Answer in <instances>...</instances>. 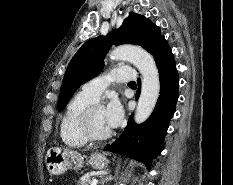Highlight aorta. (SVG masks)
Returning <instances> with one entry per match:
<instances>
[{
  "mask_svg": "<svg viewBox=\"0 0 233 185\" xmlns=\"http://www.w3.org/2000/svg\"><path fill=\"white\" fill-rule=\"evenodd\" d=\"M116 61L126 60L135 65L142 76L141 94L135 111V122L146 121L153 112L160 92L159 73L153 57L137 46H119L110 53Z\"/></svg>",
  "mask_w": 233,
  "mask_h": 185,
  "instance_id": "1",
  "label": "aorta"
}]
</instances>
